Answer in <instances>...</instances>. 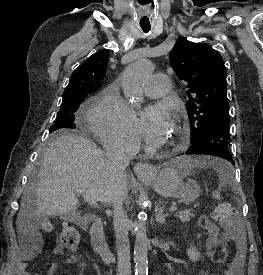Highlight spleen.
Wrapping results in <instances>:
<instances>
[{
  "instance_id": "1",
  "label": "spleen",
  "mask_w": 263,
  "mask_h": 275,
  "mask_svg": "<svg viewBox=\"0 0 263 275\" xmlns=\"http://www.w3.org/2000/svg\"><path fill=\"white\" fill-rule=\"evenodd\" d=\"M181 161L177 162L178 171L183 176H188L194 174V168H213L219 176L220 185H233L234 184V177H233V170L230 163L220 160L217 158H190V157H182ZM213 197L217 200L220 199V193L215 191Z\"/></svg>"
}]
</instances>
